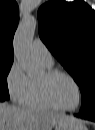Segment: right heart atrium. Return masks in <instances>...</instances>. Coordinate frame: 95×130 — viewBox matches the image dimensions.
Instances as JSON below:
<instances>
[{
    "label": "right heart atrium",
    "mask_w": 95,
    "mask_h": 130,
    "mask_svg": "<svg viewBox=\"0 0 95 130\" xmlns=\"http://www.w3.org/2000/svg\"><path fill=\"white\" fill-rule=\"evenodd\" d=\"M31 79L27 76L22 66L18 62H13L6 75V88L11 99L18 104H24L29 89Z\"/></svg>",
    "instance_id": "right-heart-atrium-1"
}]
</instances>
